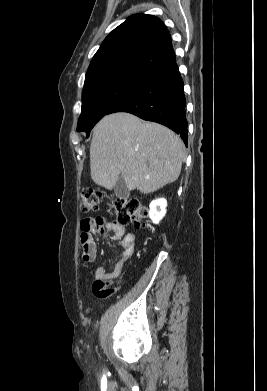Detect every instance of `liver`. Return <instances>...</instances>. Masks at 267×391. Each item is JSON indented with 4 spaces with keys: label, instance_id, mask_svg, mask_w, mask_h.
<instances>
[{
    "label": "liver",
    "instance_id": "obj_1",
    "mask_svg": "<svg viewBox=\"0 0 267 391\" xmlns=\"http://www.w3.org/2000/svg\"><path fill=\"white\" fill-rule=\"evenodd\" d=\"M184 156L183 141L170 129L130 113H113L94 127L91 178L112 190L121 175L129 190L148 194L178 179Z\"/></svg>",
    "mask_w": 267,
    "mask_h": 391
}]
</instances>
